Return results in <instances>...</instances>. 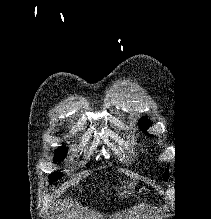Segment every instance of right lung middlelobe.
I'll return each mask as SVG.
<instances>
[{
  "label": "right lung middle lobe",
  "mask_w": 211,
  "mask_h": 219,
  "mask_svg": "<svg viewBox=\"0 0 211 219\" xmlns=\"http://www.w3.org/2000/svg\"><path fill=\"white\" fill-rule=\"evenodd\" d=\"M67 149L66 148H61L56 152V156H55V161H60L62 160L65 155H66ZM61 173H54L50 175V182H53L55 180H57L58 178H60Z\"/></svg>",
  "instance_id": "1"
}]
</instances>
